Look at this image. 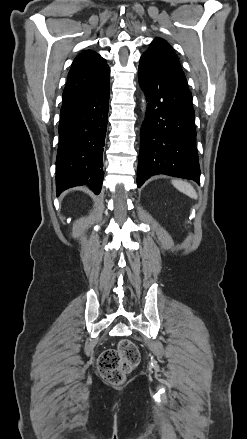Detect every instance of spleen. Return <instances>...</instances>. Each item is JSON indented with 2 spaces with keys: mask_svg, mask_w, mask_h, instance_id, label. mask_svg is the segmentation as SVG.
<instances>
[{
  "mask_svg": "<svg viewBox=\"0 0 247 439\" xmlns=\"http://www.w3.org/2000/svg\"><path fill=\"white\" fill-rule=\"evenodd\" d=\"M172 184L183 194L189 196L190 198L197 199V193L191 184L181 180H172Z\"/></svg>",
  "mask_w": 247,
  "mask_h": 439,
  "instance_id": "obj_1",
  "label": "spleen"
}]
</instances>
